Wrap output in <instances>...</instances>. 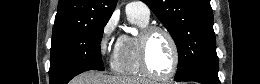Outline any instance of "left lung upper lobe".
Masks as SVG:
<instances>
[{
  "label": "left lung upper lobe",
  "mask_w": 260,
  "mask_h": 84,
  "mask_svg": "<svg viewBox=\"0 0 260 84\" xmlns=\"http://www.w3.org/2000/svg\"><path fill=\"white\" fill-rule=\"evenodd\" d=\"M174 39L179 55L175 80L218 69L210 0H143Z\"/></svg>",
  "instance_id": "left-lung-upper-lobe-1"
}]
</instances>
